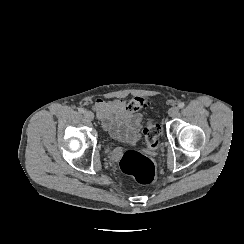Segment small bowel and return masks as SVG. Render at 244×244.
<instances>
[{
    "label": "small bowel",
    "instance_id": "c3829d8e",
    "mask_svg": "<svg viewBox=\"0 0 244 244\" xmlns=\"http://www.w3.org/2000/svg\"><path fill=\"white\" fill-rule=\"evenodd\" d=\"M101 125L111 137L124 145H134L140 138L143 117L128 109L125 99L96 100L92 104Z\"/></svg>",
    "mask_w": 244,
    "mask_h": 244
}]
</instances>
